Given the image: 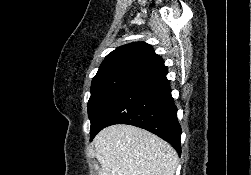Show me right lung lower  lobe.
Wrapping results in <instances>:
<instances>
[{
    "label": "right lung lower lobe",
    "mask_w": 251,
    "mask_h": 175,
    "mask_svg": "<svg viewBox=\"0 0 251 175\" xmlns=\"http://www.w3.org/2000/svg\"><path fill=\"white\" fill-rule=\"evenodd\" d=\"M166 75L167 72L130 85L106 110L91 140L104 127L130 124L158 135L180 155L182 131Z\"/></svg>",
    "instance_id": "right-lung-lower-lobe-1"
}]
</instances>
